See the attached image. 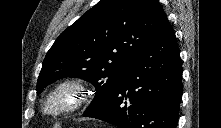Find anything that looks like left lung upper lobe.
I'll list each match as a JSON object with an SVG mask.
<instances>
[{"label": "left lung upper lobe", "instance_id": "obj_1", "mask_svg": "<svg viewBox=\"0 0 221 128\" xmlns=\"http://www.w3.org/2000/svg\"><path fill=\"white\" fill-rule=\"evenodd\" d=\"M167 21L157 0H101L64 30L47 52L37 93L57 79L77 77L97 90L84 113L98 108Z\"/></svg>", "mask_w": 221, "mask_h": 128}]
</instances>
